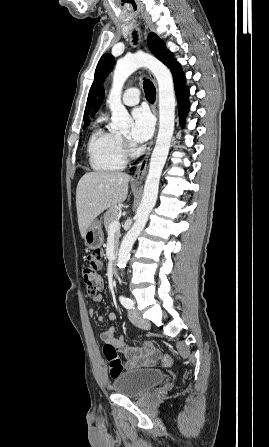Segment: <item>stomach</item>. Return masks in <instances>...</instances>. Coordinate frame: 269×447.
<instances>
[{
  "label": "stomach",
  "instance_id": "1",
  "mask_svg": "<svg viewBox=\"0 0 269 447\" xmlns=\"http://www.w3.org/2000/svg\"><path fill=\"white\" fill-rule=\"evenodd\" d=\"M85 245H88L89 249H96V247H101L104 241V233L102 231V227L100 222H93V224L89 225L85 235Z\"/></svg>",
  "mask_w": 269,
  "mask_h": 447
}]
</instances>
